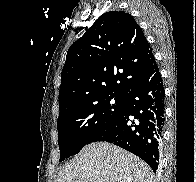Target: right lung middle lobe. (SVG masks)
<instances>
[{
	"instance_id": "1",
	"label": "right lung middle lobe",
	"mask_w": 196,
	"mask_h": 182,
	"mask_svg": "<svg viewBox=\"0 0 196 182\" xmlns=\"http://www.w3.org/2000/svg\"><path fill=\"white\" fill-rule=\"evenodd\" d=\"M125 97L101 96L59 113L60 161L77 154L123 110Z\"/></svg>"
}]
</instances>
